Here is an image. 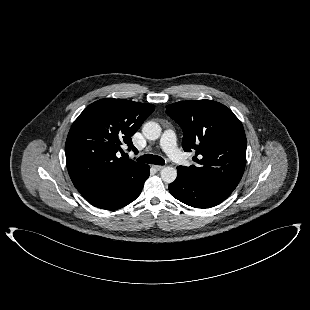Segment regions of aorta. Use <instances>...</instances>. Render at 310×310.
<instances>
[{"label":"aorta","mask_w":310,"mask_h":310,"mask_svg":"<svg viewBox=\"0 0 310 310\" xmlns=\"http://www.w3.org/2000/svg\"><path fill=\"white\" fill-rule=\"evenodd\" d=\"M161 127L158 123L149 121L143 125L142 133L148 140H157L161 135ZM161 179L165 183H172L177 177V170L174 167L167 166L161 170Z\"/></svg>","instance_id":"aorta-1"}]
</instances>
